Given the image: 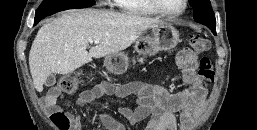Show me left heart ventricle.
Wrapping results in <instances>:
<instances>
[{
  "instance_id": "obj_1",
  "label": "left heart ventricle",
  "mask_w": 257,
  "mask_h": 130,
  "mask_svg": "<svg viewBox=\"0 0 257 130\" xmlns=\"http://www.w3.org/2000/svg\"><path fill=\"white\" fill-rule=\"evenodd\" d=\"M163 9L168 12H179L184 4V0H158Z\"/></svg>"
}]
</instances>
